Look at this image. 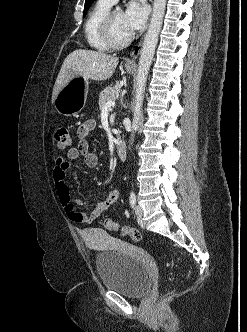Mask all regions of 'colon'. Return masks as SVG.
Wrapping results in <instances>:
<instances>
[{
	"mask_svg": "<svg viewBox=\"0 0 247 332\" xmlns=\"http://www.w3.org/2000/svg\"><path fill=\"white\" fill-rule=\"evenodd\" d=\"M53 141L57 150L64 151L70 148L73 144V139L64 126H57L53 130ZM105 227L108 230L120 231L124 236L132 241H139L141 238L140 232L135 228L121 227L113 220H106Z\"/></svg>",
	"mask_w": 247,
	"mask_h": 332,
	"instance_id": "colon-1",
	"label": "colon"
}]
</instances>
